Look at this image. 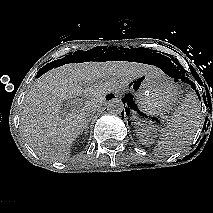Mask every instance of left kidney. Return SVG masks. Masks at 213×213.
<instances>
[{"label":"left kidney","instance_id":"5707ae66","mask_svg":"<svg viewBox=\"0 0 213 213\" xmlns=\"http://www.w3.org/2000/svg\"><path fill=\"white\" fill-rule=\"evenodd\" d=\"M137 135L139 136V140L143 144H150L152 141V134L155 132V128L151 123L147 124L144 121H140L137 123Z\"/></svg>","mask_w":213,"mask_h":213}]
</instances>
